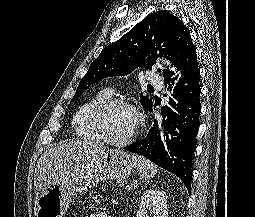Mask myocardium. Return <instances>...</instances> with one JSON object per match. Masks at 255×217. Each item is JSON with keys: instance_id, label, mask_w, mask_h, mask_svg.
Segmentation results:
<instances>
[{"instance_id": "myocardium-1", "label": "myocardium", "mask_w": 255, "mask_h": 217, "mask_svg": "<svg viewBox=\"0 0 255 217\" xmlns=\"http://www.w3.org/2000/svg\"><path fill=\"white\" fill-rule=\"evenodd\" d=\"M115 107L129 108L134 112L136 116V125L134 129L128 136L122 139L111 138L107 135L104 129V116L109 110ZM90 122L93 130L95 131L99 139L109 145L114 146H124L131 143L136 138L142 124L141 118L134 105L131 104L129 101L120 98H109L96 106L90 114Z\"/></svg>"}]
</instances>
